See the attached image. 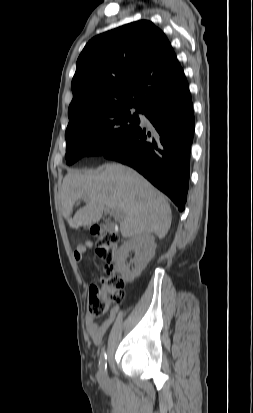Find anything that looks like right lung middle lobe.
I'll return each mask as SVG.
<instances>
[{
	"instance_id": "1",
	"label": "right lung middle lobe",
	"mask_w": 253,
	"mask_h": 413,
	"mask_svg": "<svg viewBox=\"0 0 253 413\" xmlns=\"http://www.w3.org/2000/svg\"><path fill=\"white\" fill-rule=\"evenodd\" d=\"M134 106L118 105L103 108L72 121L66 129V162L73 164L83 156L102 155L121 142L140 125L138 112L131 115Z\"/></svg>"
}]
</instances>
